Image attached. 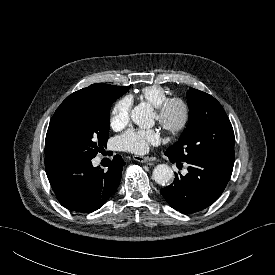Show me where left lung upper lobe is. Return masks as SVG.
<instances>
[{"mask_svg": "<svg viewBox=\"0 0 275 275\" xmlns=\"http://www.w3.org/2000/svg\"><path fill=\"white\" fill-rule=\"evenodd\" d=\"M189 122L178 142L166 153L177 161L209 157L234 162V132L221 104L211 95L190 88Z\"/></svg>", "mask_w": 275, "mask_h": 275, "instance_id": "left-lung-upper-lobe-1", "label": "left lung upper lobe"}]
</instances>
